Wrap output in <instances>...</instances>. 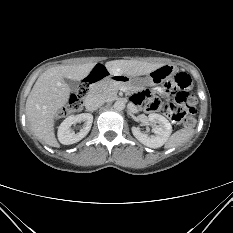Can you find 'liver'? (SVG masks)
<instances>
[{
  "label": "liver",
  "instance_id": "1",
  "mask_svg": "<svg viewBox=\"0 0 233 233\" xmlns=\"http://www.w3.org/2000/svg\"><path fill=\"white\" fill-rule=\"evenodd\" d=\"M163 64L136 60H113L105 64L111 75L141 76ZM95 63L56 66L42 73L26 101V117L31 130L46 144L58 147L54 133V119L67 103L70 88L65 79L80 81L87 77Z\"/></svg>",
  "mask_w": 233,
  "mask_h": 233
}]
</instances>
